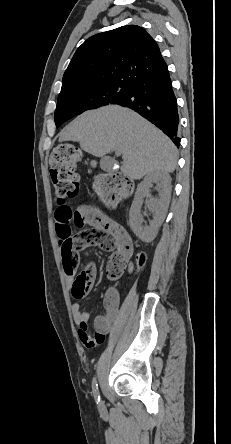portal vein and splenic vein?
Masks as SVG:
<instances>
[{
	"instance_id": "obj_1",
	"label": "portal vein and splenic vein",
	"mask_w": 231,
	"mask_h": 444,
	"mask_svg": "<svg viewBox=\"0 0 231 444\" xmlns=\"http://www.w3.org/2000/svg\"><path fill=\"white\" fill-rule=\"evenodd\" d=\"M116 154H117V155H120V153H119V152H116Z\"/></svg>"
}]
</instances>
